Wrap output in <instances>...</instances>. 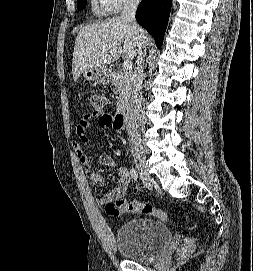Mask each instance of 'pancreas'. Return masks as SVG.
<instances>
[{
    "mask_svg": "<svg viewBox=\"0 0 253 271\" xmlns=\"http://www.w3.org/2000/svg\"><path fill=\"white\" fill-rule=\"evenodd\" d=\"M112 83L118 88L117 109H124L129 101L134 84V74L131 71L113 72Z\"/></svg>",
    "mask_w": 253,
    "mask_h": 271,
    "instance_id": "cf45deb5",
    "label": "pancreas"
}]
</instances>
